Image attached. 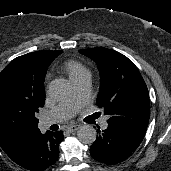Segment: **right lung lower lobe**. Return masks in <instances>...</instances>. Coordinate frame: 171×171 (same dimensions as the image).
I'll use <instances>...</instances> for the list:
<instances>
[{"label": "right lung lower lobe", "mask_w": 171, "mask_h": 171, "mask_svg": "<svg viewBox=\"0 0 171 171\" xmlns=\"http://www.w3.org/2000/svg\"><path fill=\"white\" fill-rule=\"evenodd\" d=\"M62 140V131H47L45 134L39 132L13 161L31 171H44L57 161L58 146Z\"/></svg>", "instance_id": "1"}]
</instances>
